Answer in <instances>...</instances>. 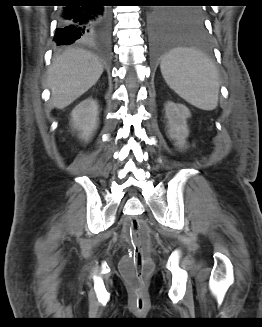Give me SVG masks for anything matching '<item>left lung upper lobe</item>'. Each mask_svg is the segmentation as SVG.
<instances>
[{
	"label": "left lung upper lobe",
	"instance_id": "1",
	"mask_svg": "<svg viewBox=\"0 0 262 327\" xmlns=\"http://www.w3.org/2000/svg\"><path fill=\"white\" fill-rule=\"evenodd\" d=\"M172 12L187 22H202V12L198 7L174 9Z\"/></svg>",
	"mask_w": 262,
	"mask_h": 327
}]
</instances>
